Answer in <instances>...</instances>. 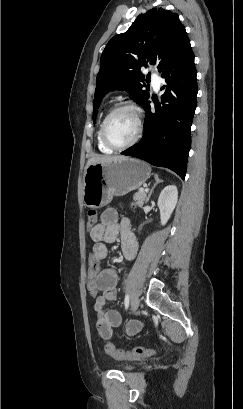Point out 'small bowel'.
I'll list each match as a JSON object with an SVG mask.
<instances>
[{"label":"small bowel","mask_w":243,"mask_h":409,"mask_svg":"<svg viewBox=\"0 0 243 409\" xmlns=\"http://www.w3.org/2000/svg\"><path fill=\"white\" fill-rule=\"evenodd\" d=\"M121 238V253L126 261L135 258L138 250L137 240L130 229V220L124 218L118 220V212L108 208L101 214V221L91 231L90 237L94 241L93 254L89 260L88 288L93 291L102 292L98 295L94 304L96 313V327L99 335L103 339H111L113 329L121 325L120 313L115 309L106 310L105 306L109 302L117 299L118 276L114 269H99V262L109 256L107 244L113 243L117 237ZM96 267L93 273L92 268ZM139 326L132 324L129 326L130 332H136Z\"/></svg>","instance_id":"obj_1"}]
</instances>
